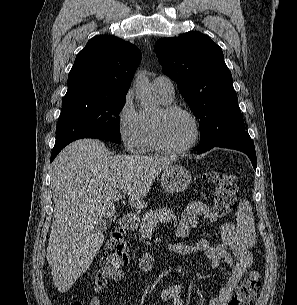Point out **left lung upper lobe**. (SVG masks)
<instances>
[{
  "mask_svg": "<svg viewBox=\"0 0 297 305\" xmlns=\"http://www.w3.org/2000/svg\"><path fill=\"white\" fill-rule=\"evenodd\" d=\"M163 72L174 80L191 111L199 119L198 149L217 144L245 130L232 75L222 49L210 37L188 32L163 38L154 46Z\"/></svg>",
  "mask_w": 297,
  "mask_h": 305,
  "instance_id": "5c2ea615",
  "label": "left lung upper lobe"
}]
</instances>
